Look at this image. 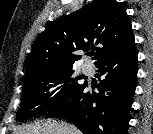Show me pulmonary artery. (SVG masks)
<instances>
[{"instance_id": "1", "label": "pulmonary artery", "mask_w": 153, "mask_h": 134, "mask_svg": "<svg viewBox=\"0 0 153 134\" xmlns=\"http://www.w3.org/2000/svg\"><path fill=\"white\" fill-rule=\"evenodd\" d=\"M82 69L85 73H92L93 72V65L89 62H85L82 66Z\"/></svg>"}]
</instances>
